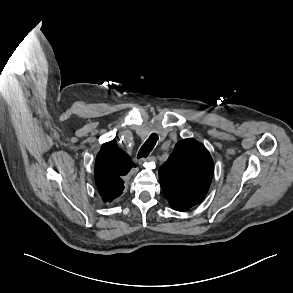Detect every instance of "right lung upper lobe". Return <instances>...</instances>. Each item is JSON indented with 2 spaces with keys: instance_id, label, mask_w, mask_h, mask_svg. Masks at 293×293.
<instances>
[{
  "instance_id": "right-lung-upper-lobe-1",
  "label": "right lung upper lobe",
  "mask_w": 293,
  "mask_h": 293,
  "mask_svg": "<svg viewBox=\"0 0 293 293\" xmlns=\"http://www.w3.org/2000/svg\"><path fill=\"white\" fill-rule=\"evenodd\" d=\"M136 167L115 141L104 143L97 154L95 181L104 202H111L124 190L123 178Z\"/></svg>"
}]
</instances>
